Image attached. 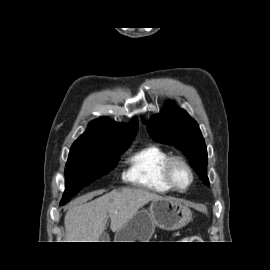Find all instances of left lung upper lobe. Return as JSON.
Listing matches in <instances>:
<instances>
[{
	"instance_id": "5c2ea615",
	"label": "left lung upper lobe",
	"mask_w": 270,
	"mask_h": 270,
	"mask_svg": "<svg viewBox=\"0 0 270 270\" xmlns=\"http://www.w3.org/2000/svg\"><path fill=\"white\" fill-rule=\"evenodd\" d=\"M147 129L153 139L182 150L198 176L209 185L206 145L197 122L186 111L168 106L152 118Z\"/></svg>"
}]
</instances>
